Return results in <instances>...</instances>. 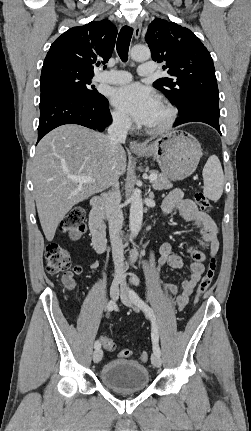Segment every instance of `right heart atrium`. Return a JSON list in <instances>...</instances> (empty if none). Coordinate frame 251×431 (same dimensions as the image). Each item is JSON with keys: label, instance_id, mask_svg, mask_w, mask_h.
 Returning a JSON list of instances; mask_svg holds the SVG:
<instances>
[{"label": "right heart atrium", "instance_id": "right-heart-atrium-1", "mask_svg": "<svg viewBox=\"0 0 251 431\" xmlns=\"http://www.w3.org/2000/svg\"><path fill=\"white\" fill-rule=\"evenodd\" d=\"M112 120L114 125L120 129H129L131 126L129 118L119 111L112 112Z\"/></svg>", "mask_w": 251, "mask_h": 431}]
</instances>
